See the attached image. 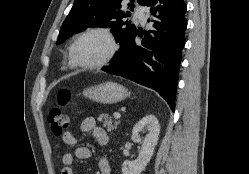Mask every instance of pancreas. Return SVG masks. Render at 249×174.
<instances>
[{
	"label": "pancreas",
	"mask_w": 249,
	"mask_h": 174,
	"mask_svg": "<svg viewBox=\"0 0 249 174\" xmlns=\"http://www.w3.org/2000/svg\"><path fill=\"white\" fill-rule=\"evenodd\" d=\"M98 121L103 122V126L107 128L108 131H112L117 128V125L120 123L119 121L113 120L107 114H101L98 117Z\"/></svg>",
	"instance_id": "1"
}]
</instances>
